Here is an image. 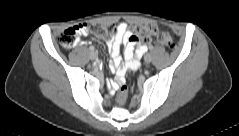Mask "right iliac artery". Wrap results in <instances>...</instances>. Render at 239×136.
Masks as SVG:
<instances>
[{
	"label": "right iliac artery",
	"instance_id": "82829eb1",
	"mask_svg": "<svg viewBox=\"0 0 239 136\" xmlns=\"http://www.w3.org/2000/svg\"><path fill=\"white\" fill-rule=\"evenodd\" d=\"M96 47L90 46V49H88V52L90 53L91 51H95Z\"/></svg>",
	"mask_w": 239,
	"mask_h": 136
}]
</instances>
